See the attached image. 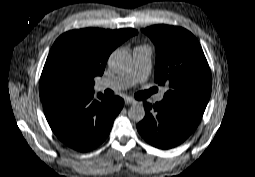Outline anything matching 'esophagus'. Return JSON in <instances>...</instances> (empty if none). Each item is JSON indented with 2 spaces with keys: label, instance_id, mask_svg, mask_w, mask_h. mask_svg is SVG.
Masks as SVG:
<instances>
[{
  "label": "esophagus",
  "instance_id": "1",
  "mask_svg": "<svg viewBox=\"0 0 255 177\" xmlns=\"http://www.w3.org/2000/svg\"><path fill=\"white\" fill-rule=\"evenodd\" d=\"M137 101L131 97H126L125 98V104H136Z\"/></svg>",
  "mask_w": 255,
  "mask_h": 177
}]
</instances>
